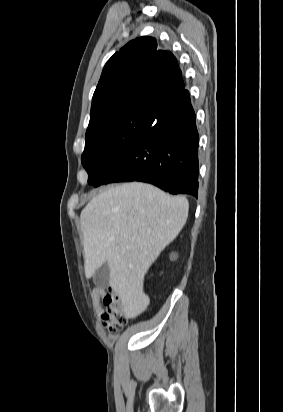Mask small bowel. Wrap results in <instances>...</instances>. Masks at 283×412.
<instances>
[{
    "mask_svg": "<svg viewBox=\"0 0 283 412\" xmlns=\"http://www.w3.org/2000/svg\"><path fill=\"white\" fill-rule=\"evenodd\" d=\"M103 294H104L103 290H101V289L95 290V293H94L95 300H98L100 297L103 296Z\"/></svg>",
    "mask_w": 283,
    "mask_h": 412,
    "instance_id": "c3829d8e",
    "label": "small bowel"
}]
</instances>
